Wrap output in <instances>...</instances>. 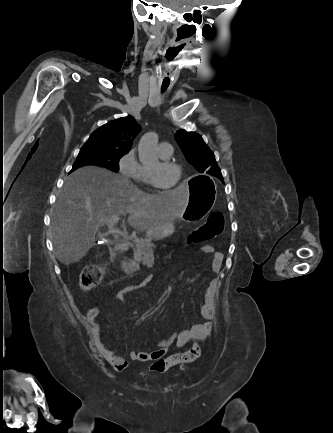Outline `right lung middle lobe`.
Here are the masks:
<instances>
[{"mask_svg": "<svg viewBox=\"0 0 333 433\" xmlns=\"http://www.w3.org/2000/svg\"><path fill=\"white\" fill-rule=\"evenodd\" d=\"M127 152L115 148L86 144L81 148L73 168L76 169L84 165H99L117 172L119 160Z\"/></svg>", "mask_w": 333, "mask_h": 433, "instance_id": "1", "label": "right lung middle lobe"}]
</instances>
